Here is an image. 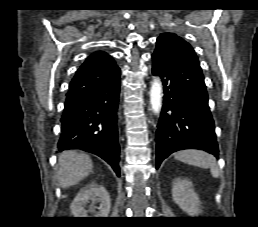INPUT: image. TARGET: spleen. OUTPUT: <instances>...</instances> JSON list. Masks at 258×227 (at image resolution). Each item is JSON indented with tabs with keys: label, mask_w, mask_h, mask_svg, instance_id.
<instances>
[{
	"label": "spleen",
	"mask_w": 258,
	"mask_h": 227,
	"mask_svg": "<svg viewBox=\"0 0 258 227\" xmlns=\"http://www.w3.org/2000/svg\"><path fill=\"white\" fill-rule=\"evenodd\" d=\"M175 158L184 163L198 166L201 168H210L213 177H219V168L216 163V159L203 151L199 150H184L180 151L175 155Z\"/></svg>",
	"instance_id": "3e777b00"
}]
</instances>
